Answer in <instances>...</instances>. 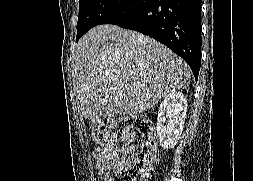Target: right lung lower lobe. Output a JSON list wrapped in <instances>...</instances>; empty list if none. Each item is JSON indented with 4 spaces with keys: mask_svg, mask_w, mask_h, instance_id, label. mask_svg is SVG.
<instances>
[{
    "mask_svg": "<svg viewBox=\"0 0 253 181\" xmlns=\"http://www.w3.org/2000/svg\"><path fill=\"white\" fill-rule=\"evenodd\" d=\"M102 24H116L158 40L182 57L198 78L201 0H128Z\"/></svg>",
    "mask_w": 253,
    "mask_h": 181,
    "instance_id": "right-lung-lower-lobe-1",
    "label": "right lung lower lobe"
}]
</instances>
